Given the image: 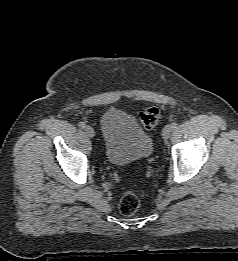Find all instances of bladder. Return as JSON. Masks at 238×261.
Segmentation results:
<instances>
[{
    "label": "bladder",
    "mask_w": 238,
    "mask_h": 261,
    "mask_svg": "<svg viewBox=\"0 0 238 261\" xmlns=\"http://www.w3.org/2000/svg\"><path fill=\"white\" fill-rule=\"evenodd\" d=\"M104 154L108 162L123 166L148 159L153 140L132 115L120 109H109L100 119Z\"/></svg>",
    "instance_id": "31cf9c89"
}]
</instances>
